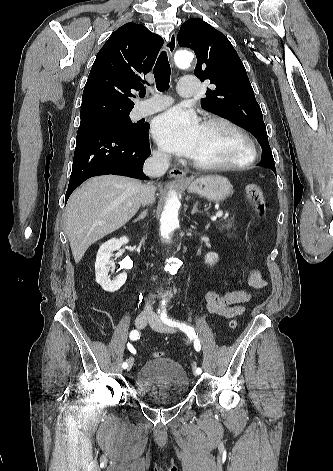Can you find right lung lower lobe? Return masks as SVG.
<instances>
[{
    "label": "right lung lower lobe",
    "instance_id": "1",
    "mask_svg": "<svg viewBox=\"0 0 333 471\" xmlns=\"http://www.w3.org/2000/svg\"><path fill=\"white\" fill-rule=\"evenodd\" d=\"M148 131L147 123L135 132L111 126L78 129L65 202L80 184L93 176L115 174L148 179L142 170L151 153Z\"/></svg>",
    "mask_w": 333,
    "mask_h": 471
}]
</instances>
